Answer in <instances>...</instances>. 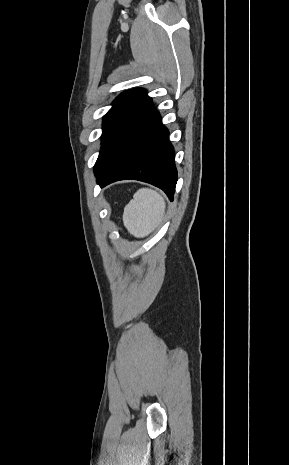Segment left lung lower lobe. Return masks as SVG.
Wrapping results in <instances>:
<instances>
[{
    "mask_svg": "<svg viewBox=\"0 0 289 465\" xmlns=\"http://www.w3.org/2000/svg\"><path fill=\"white\" fill-rule=\"evenodd\" d=\"M168 130L150 102L129 132L95 169L100 186L135 179L161 188L173 200L177 182L174 150Z\"/></svg>",
    "mask_w": 289,
    "mask_h": 465,
    "instance_id": "obj_1",
    "label": "left lung lower lobe"
}]
</instances>
